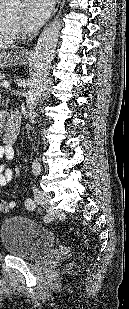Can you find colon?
<instances>
[{
  "instance_id": "5ec220e1",
  "label": "colon",
  "mask_w": 129,
  "mask_h": 309,
  "mask_svg": "<svg viewBox=\"0 0 129 309\" xmlns=\"http://www.w3.org/2000/svg\"><path fill=\"white\" fill-rule=\"evenodd\" d=\"M14 202H9L3 199H0V212L1 213H9L11 210L15 208Z\"/></svg>"
}]
</instances>
